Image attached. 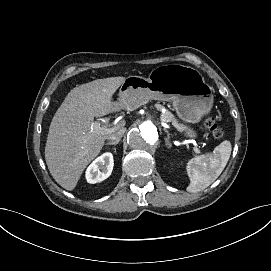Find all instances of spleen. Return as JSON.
<instances>
[{"instance_id":"obj_1","label":"spleen","mask_w":271,"mask_h":271,"mask_svg":"<svg viewBox=\"0 0 271 271\" xmlns=\"http://www.w3.org/2000/svg\"><path fill=\"white\" fill-rule=\"evenodd\" d=\"M231 154V142L224 140L209 158L194 157L187 161L186 173L190 180L187 191L191 193L205 189L222 173Z\"/></svg>"}]
</instances>
